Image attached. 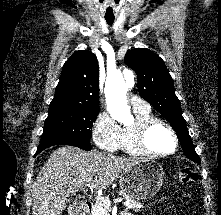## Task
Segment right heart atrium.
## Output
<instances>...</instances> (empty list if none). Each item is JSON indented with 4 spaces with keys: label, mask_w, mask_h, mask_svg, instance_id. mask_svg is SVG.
<instances>
[{
    "label": "right heart atrium",
    "mask_w": 221,
    "mask_h": 215,
    "mask_svg": "<svg viewBox=\"0 0 221 215\" xmlns=\"http://www.w3.org/2000/svg\"><path fill=\"white\" fill-rule=\"evenodd\" d=\"M92 138L100 149L115 152L119 149L121 128L107 112H100L93 123Z\"/></svg>",
    "instance_id": "d8ad5b80"
}]
</instances>
